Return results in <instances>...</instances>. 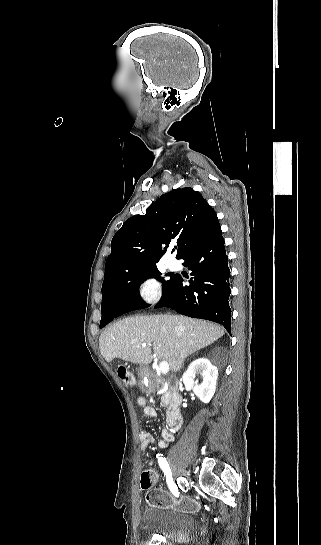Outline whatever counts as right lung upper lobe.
Returning a JSON list of instances; mask_svg holds the SVG:
<instances>
[{"label": "right lung upper lobe", "mask_w": 321, "mask_h": 545, "mask_svg": "<svg viewBox=\"0 0 321 545\" xmlns=\"http://www.w3.org/2000/svg\"><path fill=\"white\" fill-rule=\"evenodd\" d=\"M218 226L214 209L192 188L163 194L144 215L129 218L114 235L102 289L114 288L128 275L155 267L172 242L177 241L176 258L183 259Z\"/></svg>", "instance_id": "cb5924a9"}]
</instances>
